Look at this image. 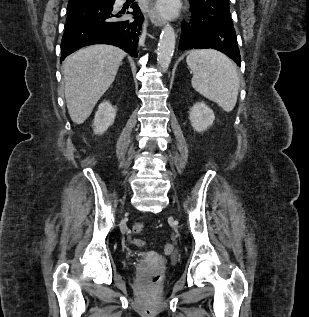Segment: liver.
Returning a JSON list of instances; mask_svg holds the SVG:
<instances>
[{"label":"liver","mask_w":309,"mask_h":317,"mask_svg":"<svg viewBox=\"0 0 309 317\" xmlns=\"http://www.w3.org/2000/svg\"><path fill=\"white\" fill-rule=\"evenodd\" d=\"M125 52L111 45L81 49L63 63L65 98L72 121L82 124L115 79Z\"/></svg>","instance_id":"liver-1"}]
</instances>
